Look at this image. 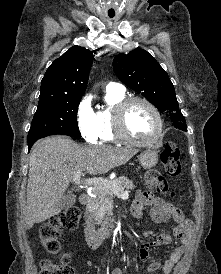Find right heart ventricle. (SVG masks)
<instances>
[{
	"label": "right heart ventricle",
	"instance_id": "1",
	"mask_svg": "<svg viewBox=\"0 0 221 274\" xmlns=\"http://www.w3.org/2000/svg\"><path fill=\"white\" fill-rule=\"evenodd\" d=\"M124 99V92L106 91V107L96 113L99 126V139L102 142H116L118 140L113 129V111L115 106Z\"/></svg>",
	"mask_w": 221,
	"mask_h": 274
}]
</instances>
